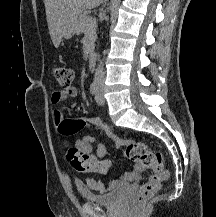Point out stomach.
<instances>
[{"label": "stomach", "mask_w": 216, "mask_h": 217, "mask_svg": "<svg viewBox=\"0 0 216 217\" xmlns=\"http://www.w3.org/2000/svg\"><path fill=\"white\" fill-rule=\"evenodd\" d=\"M75 34V23L65 33V38H71Z\"/></svg>", "instance_id": "0dacf381"}]
</instances>
